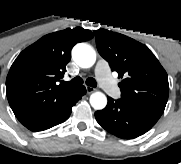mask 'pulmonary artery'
Here are the masks:
<instances>
[{"mask_svg": "<svg viewBox=\"0 0 181 164\" xmlns=\"http://www.w3.org/2000/svg\"><path fill=\"white\" fill-rule=\"evenodd\" d=\"M96 75L101 87L110 95H115L118 91L117 87L114 85L108 69L102 64H98L96 67Z\"/></svg>", "mask_w": 181, "mask_h": 164, "instance_id": "pulmonary-artery-1", "label": "pulmonary artery"}]
</instances>
